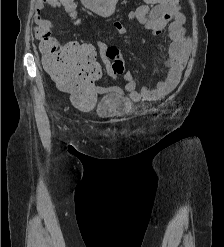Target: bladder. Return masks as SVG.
Wrapping results in <instances>:
<instances>
[{
  "label": "bladder",
  "instance_id": "bladder-1",
  "mask_svg": "<svg viewBox=\"0 0 224 247\" xmlns=\"http://www.w3.org/2000/svg\"><path fill=\"white\" fill-rule=\"evenodd\" d=\"M95 112L99 118L106 120L117 118L122 114L120 102L113 95L105 96L96 107Z\"/></svg>",
  "mask_w": 224,
  "mask_h": 247
}]
</instances>
